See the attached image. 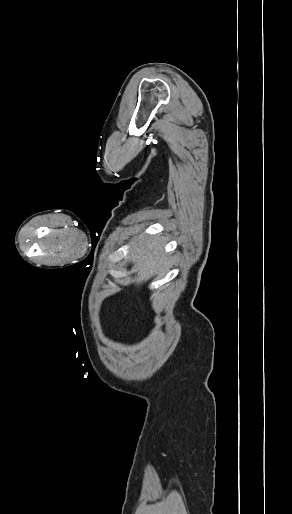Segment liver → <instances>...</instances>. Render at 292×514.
I'll return each mask as SVG.
<instances>
[{"instance_id":"1","label":"liver","mask_w":292,"mask_h":514,"mask_svg":"<svg viewBox=\"0 0 292 514\" xmlns=\"http://www.w3.org/2000/svg\"><path fill=\"white\" fill-rule=\"evenodd\" d=\"M131 244L127 260L136 264L138 268V274L134 280L136 284L147 282L159 272L161 274L168 272L170 258H166V254H163L166 238H161L159 234L158 236L140 234L138 240L133 238Z\"/></svg>"}]
</instances>
